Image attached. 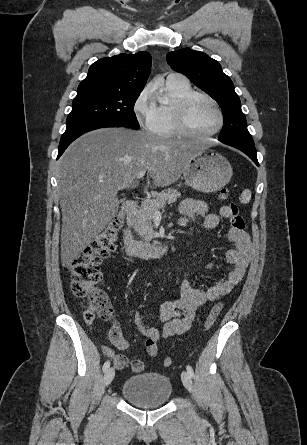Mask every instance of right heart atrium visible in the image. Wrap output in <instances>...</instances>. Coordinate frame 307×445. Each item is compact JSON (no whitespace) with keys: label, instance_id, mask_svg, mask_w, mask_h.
Returning a JSON list of instances; mask_svg holds the SVG:
<instances>
[{"label":"right heart atrium","instance_id":"obj_1","mask_svg":"<svg viewBox=\"0 0 307 445\" xmlns=\"http://www.w3.org/2000/svg\"><path fill=\"white\" fill-rule=\"evenodd\" d=\"M132 112L138 125L146 131H154L158 123L155 94L151 87H145L135 99Z\"/></svg>","mask_w":307,"mask_h":445}]
</instances>
